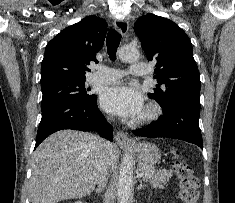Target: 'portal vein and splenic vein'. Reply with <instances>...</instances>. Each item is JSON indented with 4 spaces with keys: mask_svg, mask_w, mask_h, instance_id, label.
<instances>
[{
    "mask_svg": "<svg viewBox=\"0 0 235 203\" xmlns=\"http://www.w3.org/2000/svg\"><path fill=\"white\" fill-rule=\"evenodd\" d=\"M142 176H143V173H142V172L137 173V177H138V178H141Z\"/></svg>",
    "mask_w": 235,
    "mask_h": 203,
    "instance_id": "portal-vein-and-splenic-vein-1",
    "label": "portal vein and splenic vein"
}]
</instances>
